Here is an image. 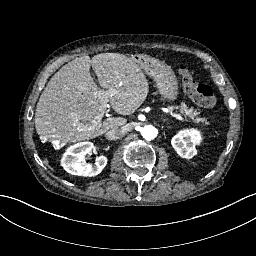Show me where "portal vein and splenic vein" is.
Listing matches in <instances>:
<instances>
[{"label": "portal vein and splenic vein", "instance_id": "1", "mask_svg": "<svg viewBox=\"0 0 256 256\" xmlns=\"http://www.w3.org/2000/svg\"><path fill=\"white\" fill-rule=\"evenodd\" d=\"M98 95L100 96L101 100H103V103L100 105V108H99L100 113L97 116H95L94 120L92 121L93 128H95L98 125H101V119H102L106 109L109 108L108 101H106V100H107L108 95H111V90H109V91L100 90ZM171 117L174 118L175 120H179V122L182 124L186 123V119L182 118L181 115L172 113Z\"/></svg>", "mask_w": 256, "mask_h": 256}]
</instances>
